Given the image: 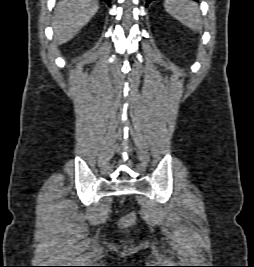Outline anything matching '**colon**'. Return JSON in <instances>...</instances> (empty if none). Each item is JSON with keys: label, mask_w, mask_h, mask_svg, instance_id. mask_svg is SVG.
Segmentation results:
<instances>
[{"label": "colon", "mask_w": 254, "mask_h": 267, "mask_svg": "<svg viewBox=\"0 0 254 267\" xmlns=\"http://www.w3.org/2000/svg\"><path fill=\"white\" fill-rule=\"evenodd\" d=\"M135 220H136L135 214L133 212H130L128 215H126L121 219V225L131 226L132 224H134Z\"/></svg>", "instance_id": "obj_1"}]
</instances>
